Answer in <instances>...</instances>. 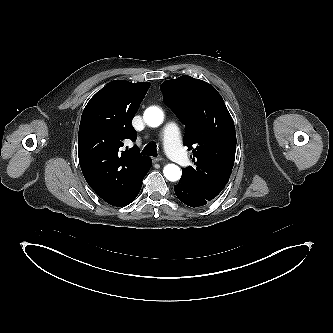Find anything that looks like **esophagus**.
<instances>
[{
    "instance_id": "34e87169",
    "label": "esophagus",
    "mask_w": 333,
    "mask_h": 333,
    "mask_svg": "<svg viewBox=\"0 0 333 333\" xmlns=\"http://www.w3.org/2000/svg\"><path fill=\"white\" fill-rule=\"evenodd\" d=\"M153 162H160V161H163V158L162 157H152L151 158Z\"/></svg>"
}]
</instances>
